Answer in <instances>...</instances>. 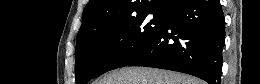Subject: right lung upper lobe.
Instances as JSON below:
<instances>
[{
	"label": "right lung upper lobe",
	"instance_id": "right-lung-upper-lobe-1",
	"mask_svg": "<svg viewBox=\"0 0 260 84\" xmlns=\"http://www.w3.org/2000/svg\"><path fill=\"white\" fill-rule=\"evenodd\" d=\"M181 0H90L76 42L84 39L100 23L115 22L141 12L166 13Z\"/></svg>",
	"mask_w": 260,
	"mask_h": 84
}]
</instances>
